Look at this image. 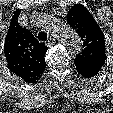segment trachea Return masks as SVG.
<instances>
[{
    "label": "trachea",
    "mask_w": 113,
    "mask_h": 113,
    "mask_svg": "<svg viewBox=\"0 0 113 113\" xmlns=\"http://www.w3.org/2000/svg\"><path fill=\"white\" fill-rule=\"evenodd\" d=\"M38 39H39V41H46L47 40V34L43 31L39 32Z\"/></svg>",
    "instance_id": "3493384b"
}]
</instances>
